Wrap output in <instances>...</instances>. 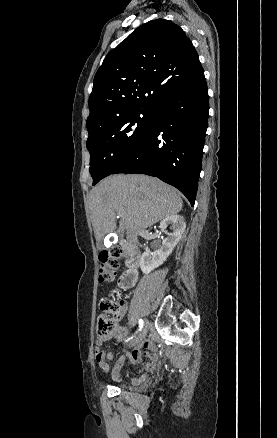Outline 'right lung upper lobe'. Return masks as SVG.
Segmentation results:
<instances>
[{"label":"right lung upper lobe","mask_w":277,"mask_h":438,"mask_svg":"<svg viewBox=\"0 0 277 438\" xmlns=\"http://www.w3.org/2000/svg\"><path fill=\"white\" fill-rule=\"evenodd\" d=\"M178 66L176 70H170ZM170 70V71H169ZM204 72L191 40L177 24L155 19L110 51L94 77L87 128L144 109Z\"/></svg>","instance_id":"obj_1"}]
</instances>
